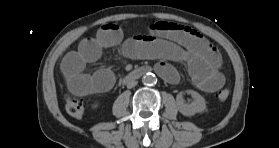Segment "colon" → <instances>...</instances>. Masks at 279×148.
Segmentation results:
<instances>
[{"instance_id":"5ec220e1","label":"colon","mask_w":279,"mask_h":148,"mask_svg":"<svg viewBox=\"0 0 279 148\" xmlns=\"http://www.w3.org/2000/svg\"><path fill=\"white\" fill-rule=\"evenodd\" d=\"M230 95V91L227 88L222 89L217 94L219 101H225ZM65 109L69 115L75 118H80L85 112V106L81 99L74 97H67L65 101Z\"/></svg>"}]
</instances>
